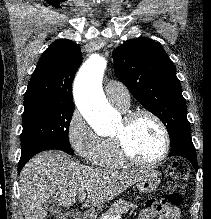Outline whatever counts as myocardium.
<instances>
[{"instance_id": "obj_1", "label": "myocardium", "mask_w": 211, "mask_h": 219, "mask_svg": "<svg viewBox=\"0 0 211 219\" xmlns=\"http://www.w3.org/2000/svg\"><path fill=\"white\" fill-rule=\"evenodd\" d=\"M141 116H147L150 117L152 120H154V122L160 128L163 137V148L160 155L156 159L150 161H142L135 158L130 153L126 143V132L133 124V122ZM112 140L114 142L118 157L126 165H130V166L144 167V168L157 166L166 159V157L170 152V136L165 123L157 114L147 109H138L126 113L123 118V128L121 132L114 135L112 137Z\"/></svg>"}]
</instances>
